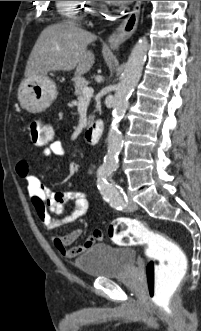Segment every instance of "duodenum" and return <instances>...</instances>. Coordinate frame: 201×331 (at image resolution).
<instances>
[{
	"label": "duodenum",
	"mask_w": 201,
	"mask_h": 331,
	"mask_svg": "<svg viewBox=\"0 0 201 331\" xmlns=\"http://www.w3.org/2000/svg\"><path fill=\"white\" fill-rule=\"evenodd\" d=\"M104 131V125L102 121H93L86 129L85 139L92 145H96L100 142Z\"/></svg>",
	"instance_id": "410a0bca"
}]
</instances>
